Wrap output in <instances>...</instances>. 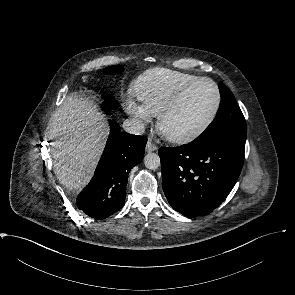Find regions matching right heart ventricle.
<instances>
[{"label":"right heart ventricle","mask_w":295,"mask_h":295,"mask_svg":"<svg viewBox=\"0 0 295 295\" xmlns=\"http://www.w3.org/2000/svg\"><path fill=\"white\" fill-rule=\"evenodd\" d=\"M198 76L169 69L155 68L137 78L135 90L139 100L152 115L161 109L186 84Z\"/></svg>","instance_id":"e07e8e85"}]
</instances>
